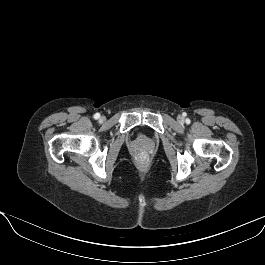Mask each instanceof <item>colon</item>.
Wrapping results in <instances>:
<instances>
[{
	"mask_svg": "<svg viewBox=\"0 0 265 265\" xmlns=\"http://www.w3.org/2000/svg\"><path fill=\"white\" fill-rule=\"evenodd\" d=\"M140 160L143 161L144 160V157H141Z\"/></svg>",
	"mask_w": 265,
	"mask_h": 265,
	"instance_id": "1",
	"label": "colon"
}]
</instances>
